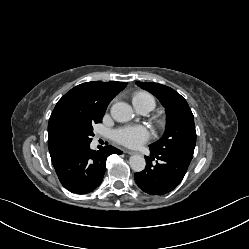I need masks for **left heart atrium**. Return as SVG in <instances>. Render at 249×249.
Wrapping results in <instances>:
<instances>
[{
	"label": "left heart atrium",
	"instance_id": "39dd6f15",
	"mask_svg": "<svg viewBox=\"0 0 249 249\" xmlns=\"http://www.w3.org/2000/svg\"><path fill=\"white\" fill-rule=\"evenodd\" d=\"M150 135L149 129L142 125L124 126L113 132V138L116 142L132 148L148 141Z\"/></svg>",
	"mask_w": 249,
	"mask_h": 249
}]
</instances>
